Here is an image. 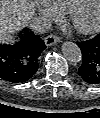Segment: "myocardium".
Returning a JSON list of instances; mask_svg holds the SVG:
<instances>
[{"label":"myocardium","instance_id":"obj_1","mask_svg":"<svg viewBox=\"0 0 100 118\" xmlns=\"http://www.w3.org/2000/svg\"><path fill=\"white\" fill-rule=\"evenodd\" d=\"M94 1L95 0H83L69 13L71 24L80 33L88 34L94 32L100 26V0H97L98 6L94 17L89 21L82 19V14Z\"/></svg>","mask_w":100,"mask_h":118}]
</instances>
